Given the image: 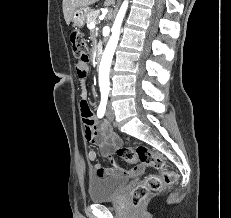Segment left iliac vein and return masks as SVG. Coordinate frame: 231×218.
I'll return each instance as SVG.
<instances>
[{
	"label": "left iliac vein",
	"instance_id": "4c4485c4",
	"mask_svg": "<svg viewBox=\"0 0 231 218\" xmlns=\"http://www.w3.org/2000/svg\"><path fill=\"white\" fill-rule=\"evenodd\" d=\"M106 117L110 120L113 121L114 120V110L113 107L110 103H108L107 105V110H106Z\"/></svg>",
	"mask_w": 231,
	"mask_h": 218
}]
</instances>
